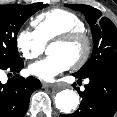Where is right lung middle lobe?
<instances>
[{
  "label": "right lung middle lobe",
  "mask_w": 117,
  "mask_h": 117,
  "mask_svg": "<svg viewBox=\"0 0 117 117\" xmlns=\"http://www.w3.org/2000/svg\"><path fill=\"white\" fill-rule=\"evenodd\" d=\"M46 4L0 5V65L22 60L19 56L16 38L21 25Z\"/></svg>",
  "instance_id": "dd1d6c3e"
}]
</instances>
